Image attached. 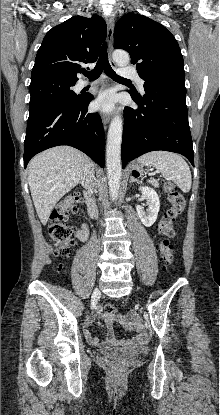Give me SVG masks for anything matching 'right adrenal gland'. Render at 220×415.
Returning <instances> with one entry per match:
<instances>
[{"instance_id": "1", "label": "right adrenal gland", "mask_w": 220, "mask_h": 415, "mask_svg": "<svg viewBox=\"0 0 220 415\" xmlns=\"http://www.w3.org/2000/svg\"><path fill=\"white\" fill-rule=\"evenodd\" d=\"M91 177L95 179L94 171L91 172Z\"/></svg>"}]
</instances>
